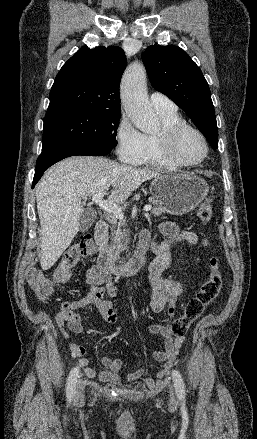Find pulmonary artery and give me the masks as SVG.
I'll return each instance as SVG.
<instances>
[{"mask_svg": "<svg viewBox=\"0 0 257 439\" xmlns=\"http://www.w3.org/2000/svg\"><path fill=\"white\" fill-rule=\"evenodd\" d=\"M150 101L157 112L172 113L177 110L176 105L167 96L160 92L151 93Z\"/></svg>", "mask_w": 257, "mask_h": 439, "instance_id": "e3ab8cb5", "label": "pulmonary artery"}]
</instances>
